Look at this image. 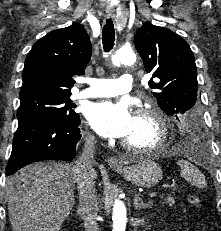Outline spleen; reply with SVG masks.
Listing matches in <instances>:
<instances>
[{
	"label": "spleen",
	"mask_w": 221,
	"mask_h": 231,
	"mask_svg": "<svg viewBox=\"0 0 221 231\" xmlns=\"http://www.w3.org/2000/svg\"><path fill=\"white\" fill-rule=\"evenodd\" d=\"M177 165L181 168V176L189 183L199 188L206 186L204 175L193 164L186 160H178Z\"/></svg>",
	"instance_id": "3e777b00"
}]
</instances>
